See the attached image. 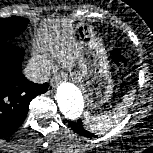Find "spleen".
<instances>
[{
	"label": "spleen",
	"instance_id": "1",
	"mask_svg": "<svg viewBox=\"0 0 153 153\" xmlns=\"http://www.w3.org/2000/svg\"><path fill=\"white\" fill-rule=\"evenodd\" d=\"M134 100V93L130 92L123 97V101L108 112L92 116L89 112L84 114V125L86 129L98 134H103L116 126L128 112Z\"/></svg>",
	"mask_w": 153,
	"mask_h": 153
}]
</instances>
